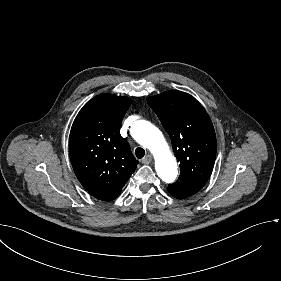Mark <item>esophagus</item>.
<instances>
[{"instance_id":"1","label":"esophagus","mask_w":281,"mask_h":281,"mask_svg":"<svg viewBox=\"0 0 281 281\" xmlns=\"http://www.w3.org/2000/svg\"><path fill=\"white\" fill-rule=\"evenodd\" d=\"M152 161V156L150 154H148L143 160L142 163L143 164H149Z\"/></svg>"}]
</instances>
